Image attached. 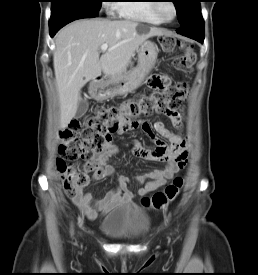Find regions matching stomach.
<instances>
[{"mask_svg":"<svg viewBox=\"0 0 258 275\" xmlns=\"http://www.w3.org/2000/svg\"><path fill=\"white\" fill-rule=\"evenodd\" d=\"M157 55V45L149 40L144 41L138 50L137 66L130 72L93 83L90 88L92 97L103 101L115 95L134 91L153 69Z\"/></svg>","mask_w":258,"mask_h":275,"instance_id":"obj_1","label":"stomach"}]
</instances>
